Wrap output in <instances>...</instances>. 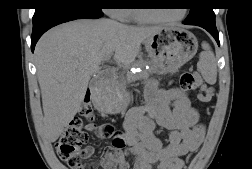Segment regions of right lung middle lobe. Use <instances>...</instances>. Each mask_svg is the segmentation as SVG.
Here are the masks:
<instances>
[{"label": "right lung middle lobe", "instance_id": "obj_1", "mask_svg": "<svg viewBox=\"0 0 252 169\" xmlns=\"http://www.w3.org/2000/svg\"><path fill=\"white\" fill-rule=\"evenodd\" d=\"M102 0H74L75 5H80L85 8L102 12ZM51 5V0H40L35 8V12L42 11Z\"/></svg>", "mask_w": 252, "mask_h": 169}]
</instances>
